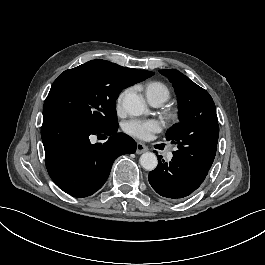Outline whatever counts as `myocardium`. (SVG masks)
Returning a JSON list of instances; mask_svg holds the SVG:
<instances>
[{
    "mask_svg": "<svg viewBox=\"0 0 265 265\" xmlns=\"http://www.w3.org/2000/svg\"><path fill=\"white\" fill-rule=\"evenodd\" d=\"M166 115L168 121L173 125L178 124L181 120L180 111L177 107L169 106L166 110Z\"/></svg>",
    "mask_w": 265,
    "mask_h": 265,
    "instance_id": "1",
    "label": "myocardium"
}]
</instances>
